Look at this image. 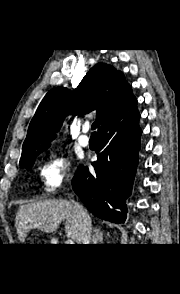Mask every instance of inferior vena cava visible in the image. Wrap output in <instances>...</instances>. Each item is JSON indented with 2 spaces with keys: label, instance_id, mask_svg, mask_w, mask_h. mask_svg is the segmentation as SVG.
<instances>
[{
  "label": "inferior vena cava",
  "instance_id": "obj_1",
  "mask_svg": "<svg viewBox=\"0 0 180 294\" xmlns=\"http://www.w3.org/2000/svg\"><path fill=\"white\" fill-rule=\"evenodd\" d=\"M74 204L80 219V231H81L82 244H90L91 231H92L90 216L87 214L86 211H84V209L79 203L74 202Z\"/></svg>",
  "mask_w": 180,
  "mask_h": 294
}]
</instances>
